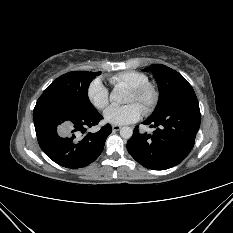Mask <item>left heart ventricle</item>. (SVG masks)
Masks as SVG:
<instances>
[{"label":"left heart ventricle","mask_w":233,"mask_h":233,"mask_svg":"<svg viewBox=\"0 0 233 233\" xmlns=\"http://www.w3.org/2000/svg\"><path fill=\"white\" fill-rule=\"evenodd\" d=\"M126 102L127 103H138L140 106V102L138 101L137 97L132 93L130 92L127 99H126Z\"/></svg>","instance_id":"obj_1"}]
</instances>
